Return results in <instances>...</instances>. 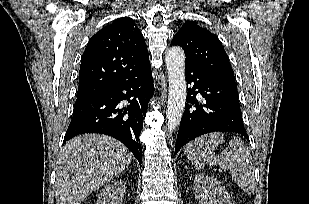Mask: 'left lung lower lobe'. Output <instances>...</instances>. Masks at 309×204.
<instances>
[{
	"label": "left lung lower lobe",
	"mask_w": 309,
	"mask_h": 204,
	"mask_svg": "<svg viewBox=\"0 0 309 204\" xmlns=\"http://www.w3.org/2000/svg\"><path fill=\"white\" fill-rule=\"evenodd\" d=\"M188 89L185 111L179 127L175 153L203 134L234 132L249 137L243 125L235 80L223 78L201 68L185 66ZM203 103L195 99L197 94Z\"/></svg>",
	"instance_id": "left-lung-lower-lobe-1"
}]
</instances>
